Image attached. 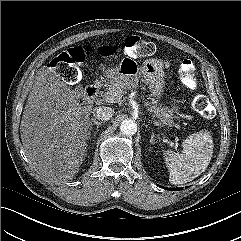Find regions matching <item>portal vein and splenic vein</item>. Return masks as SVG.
<instances>
[{
    "label": "portal vein and splenic vein",
    "instance_id": "18ae733b",
    "mask_svg": "<svg viewBox=\"0 0 241 241\" xmlns=\"http://www.w3.org/2000/svg\"><path fill=\"white\" fill-rule=\"evenodd\" d=\"M104 99L106 102L108 103H116L117 101H119L121 99V95L119 93H115V94H104Z\"/></svg>",
    "mask_w": 241,
    "mask_h": 241
}]
</instances>
